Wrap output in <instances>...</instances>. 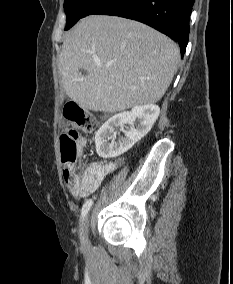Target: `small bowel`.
Returning <instances> with one entry per match:
<instances>
[{"label": "small bowel", "mask_w": 233, "mask_h": 284, "mask_svg": "<svg viewBox=\"0 0 233 284\" xmlns=\"http://www.w3.org/2000/svg\"><path fill=\"white\" fill-rule=\"evenodd\" d=\"M117 165L118 164L115 162L100 161L91 163L86 167L85 172L89 174L94 181L93 191L117 168Z\"/></svg>", "instance_id": "small-bowel-1"}]
</instances>
